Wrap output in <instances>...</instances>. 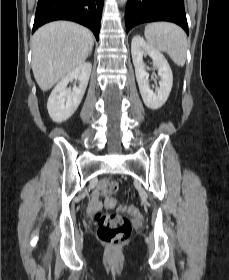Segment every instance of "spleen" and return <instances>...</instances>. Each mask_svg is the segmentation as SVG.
<instances>
[{
	"label": "spleen",
	"mask_w": 229,
	"mask_h": 280,
	"mask_svg": "<svg viewBox=\"0 0 229 280\" xmlns=\"http://www.w3.org/2000/svg\"><path fill=\"white\" fill-rule=\"evenodd\" d=\"M144 34L149 46L166 52L176 65H185L187 37L182 28L173 23L153 22L145 27Z\"/></svg>",
	"instance_id": "3e777b00"
}]
</instances>
